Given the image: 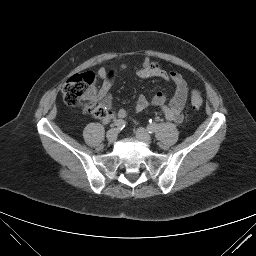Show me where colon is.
<instances>
[{
  "instance_id": "1",
  "label": "colon",
  "mask_w": 256,
  "mask_h": 256,
  "mask_svg": "<svg viewBox=\"0 0 256 256\" xmlns=\"http://www.w3.org/2000/svg\"><path fill=\"white\" fill-rule=\"evenodd\" d=\"M96 75L92 72L75 74L69 77L62 85L61 92L64 101L71 106L84 103V112L94 117H104L105 108L94 100L96 94ZM191 104L195 109L203 105L199 92L193 91Z\"/></svg>"
}]
</instances>
